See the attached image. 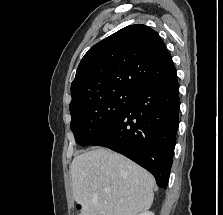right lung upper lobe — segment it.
Listing matches in <instances>:
<instances>
[{
    "instance_id": "obj_1",
    "label": "right lung upper lobe",
    "mask_w": 223,
    "mask_h": 215,
    "mask_svg": "<svg viewBox=\"0 0 223 215\" xmlns=\"http://www.w3.org/2000/svg\"><path fill=\"white\" fill-rule=\"evenodd\" d=\"M175 74L171 55L158 33L142 24L130 25L84 55L71 84L70 109L118 90L137 94Z\"/></svg>"
}]
</instances>
